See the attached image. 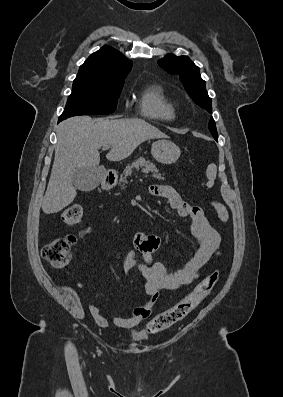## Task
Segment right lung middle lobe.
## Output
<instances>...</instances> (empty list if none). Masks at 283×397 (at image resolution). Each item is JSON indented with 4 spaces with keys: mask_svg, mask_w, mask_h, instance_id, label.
<instances>
[{
    "mask_svg": "<svg viewBox=\"0 0 283 397\" xmlns=\"http://www.w3.org/2000/svg\"><path fill=\"white\" fill-rule=\"evenodd\" d=\"M124 85L120 81H103L77 76L72 93L60 120L76 115L110 114L116 110L117 101Z\"/></svg>",
    "mask_w": 283,
    "mask_h": 397,
    "instance_id": "dd1d6c3e",
    "label": "right lung middle lobe"
}]
</instances>
